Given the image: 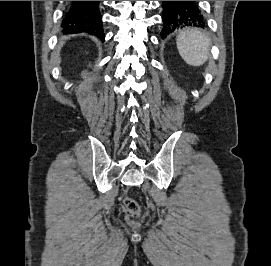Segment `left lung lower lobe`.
Wrapping results in <instances>:
<instances>
[{
    "instance_id": "obj_1",
    "label": "left lung lower lobe",
    "mask_w": 271,
    "mask_h": 266,
    "mask_svg": "<svg viewBox=\"0 0 271 266\" xmlns=\"http://www.w3.org/2000/svg\"><path fill=\"white\" fill-rule=\"evenodd\" d=\"M162 37L185 26L204 27L205 18L197 1H163Z\"/></svg>"
}]
</instances>
